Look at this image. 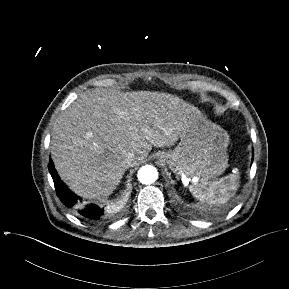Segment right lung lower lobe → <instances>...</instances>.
Instances as JSON below:
<instances>
[{
  "instance_id": "obj_1",
  "label": "right lung lower lobe",
  "mask_w": 289,
  "mask_h": 289,
  "mask_svg": "<svg viewBox=\"0 0 289 289\" xmlns=\"http://www.w3.org/2000/svg\"><path fill=\"white\" fill-rule=\"evenodd\" d=\"M50 174L53 178L56 193L63 204L67 207L74 209L81 218L92 221L100 222L107 218L108 212L105 206L95 203L82 202L81 199L73 194L66 185L60 180L54 168L53 162L50 159L48 164Z\"/></svg>"
}]
</instances>
